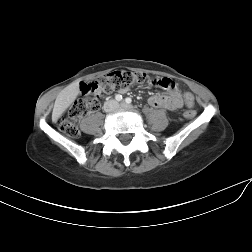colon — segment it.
Returning <instances> with one entry per match:
<instances>
[{
  "mask_svg": "<svg viewBox=\"0 0 252 252\" xmlns=\"http://www.w3.org/2000/svg\"><path fill=\"white\" fill-rule=\"evenodd\" d=\"M157 79L149 78L143 72L115 71L100 77L96 81L84 83L81 86V97L73 104L67 114L57 121V126L66 135L78 137L80 134L76 121L83 115L96 111L100 107V100L105 94L112 92H125L134 85L150 83L155 85ZM168 86V84H164ZM184 101L192 108L194 98L191 93H184ZM196 112L193 109L184 113L186 118L194 117Z\"/></svg>",
  "mask_w": 252,
  "mask_h": 252,
  "instance_id": "obj_1",
  "label": "colon"
}]
</instances>
